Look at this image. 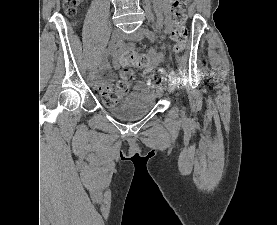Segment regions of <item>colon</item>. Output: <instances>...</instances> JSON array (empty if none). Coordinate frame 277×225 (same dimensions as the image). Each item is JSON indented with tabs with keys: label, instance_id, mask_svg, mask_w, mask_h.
I'll list each match as a JSON object with an SVG mask.
<instances>
[{
	"label": "colon",
	"instance_id": "obj_1",
	"mask_svg": "<svg viewBox=\"0 0 277 225\" xmlns=\"http://www.w3.org/2000/svg\"><path fill=\"white\" fill-rule=\"evenodd\" d=\"M190 0H173L171 11L173 14L172 24L173 31L171 34L174 42L173 51L180 53L184 50L188 36L186 27V6ZM81 0H63L64 9L67 15L73 16L76 14ZM119 63L124 69L121 72V79L113 84L100 88L99 94L105 104L118 102L125 96L129 90L132 81L135 78L134 72L130 68H145L149 65L148 56L140 54L136 50H131L123 53L119 59ZM146 83L149 86L161 87L165 83L164 73L157 71L146 78Z\"/></svg>",
	"mask_w": 277,
	"mask_h": 225
}]
</instances>
